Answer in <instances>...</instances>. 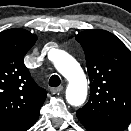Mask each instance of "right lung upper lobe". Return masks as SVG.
<instances>
[{"label":"right lung upper lobe","instance_id":"cb5924a9","mask_svg":"<svg viewBox=\"0 0 131 131\" xmlns=\"http://www.w3.org/2000/svg\"><path fill=\"white\" fill-rule=\"evenodd\" d=\"M37 37L24 29L0 33V131H26L35 124L47 92L24 65Z\"/></svg>","mask_w":131,"mask_h":131}]
</instances>
